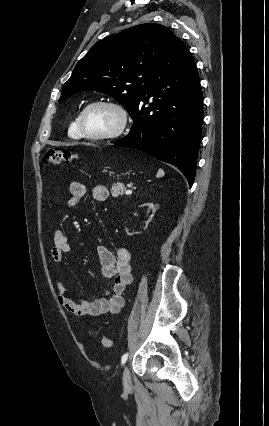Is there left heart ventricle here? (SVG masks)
<instances>
[{
    "label": "left heart ventricle",
    "mask_w": 269,
    "mask_h": 426,
    "mask_svg": "<svg viewBox=\"0 0 269 426\" xmlns=\"http://www.w3.org/2000/svg\"><path fill=\"white\" fill-rule=\"evenodd\" d=\"M117 113L105 106H96L85 115V126L90 133L102 134L112 131L118 124Z\"/></svg>",
    "instance_id": "obj_1"
}]
</instances>
